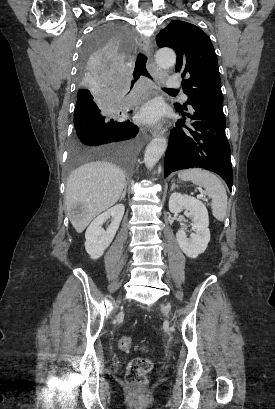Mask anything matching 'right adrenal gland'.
Masks as SVG:
<instances>
[{
    "label": "right adrenal gland",
    "instance_id": "obj_1",
    "mask_svg": "<svg viewBox=\"0 0 275 409\" xmlns=\"http://www.w3.org/2000/svg\"><path fill=\"white\" fill-rule=\"evenodd\" d=\"M126 190H127V184H125L124 190H123V192H122V194H121L119 200H122V198H125Z\"/></svg>",
    "mask_w": 275,
    "mask_h": 409
}]
</instances>
